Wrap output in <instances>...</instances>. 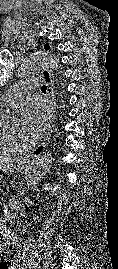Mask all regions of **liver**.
Masks as SVG:
<instances>
[{
  "label": "liver",
  "mask_w": 118,
  "mask_h": 269,
  "mask_svg": "<svg viewBox=\"0 0 118 269\" xmlns=\"http://www.w3.org/2000/svg\"><path fill=\"white\" fill-rule=\"evenodd\" d=\"M16 164H19L17 160L0 157V170L2 171L11 170Z\"/></svg>",
  "instance_id": "1"
}]
</instances>
